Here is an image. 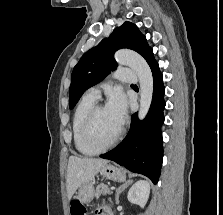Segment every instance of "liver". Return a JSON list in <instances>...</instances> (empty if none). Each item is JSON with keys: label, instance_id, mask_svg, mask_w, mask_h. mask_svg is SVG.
Here are the masks:
<instances>
[{"label": "liver", "instance_id": "obj_1", "mask_svg": "<svg viewBox=\"0 0 223 215\" xmlns=\"http://www.w3.org/2000/svg\"><path fill=\"white\" fill-rule=\"evenodd\" d=\"M104 163H108V159L70 155L67 167V193L69 201L76 189L93 179Z\"/></svg>", "mask_w": 223, "mask_h": 215}]
</instances>
